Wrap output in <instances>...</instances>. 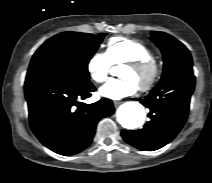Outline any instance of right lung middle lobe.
Instances as JSON below:
<instances>
[{
    "mask_svg": "<svg viewBox=\"0 0 212 183\" xmlns=\"http://www.w3.org/2000/svg\"><path fill=\"white\" fill-rule=\"evenodd\" d=\"M105 33L63 32L48 39L33 55L26 79L89 81L88 63Z\"/></svg>",
    "mask_w": 212,
    "mask_h": 183,
    "instance_id": "dd1d6c3e",
    "label": "right lung middle lobe"
}]
</instances>
